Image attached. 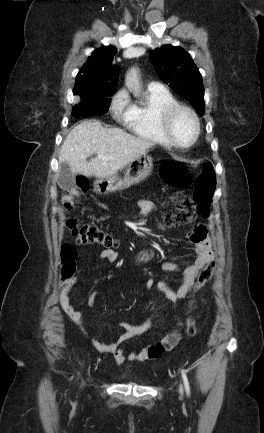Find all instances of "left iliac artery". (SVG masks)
<instances>
[{
  "label": "left iliac artery",
  "mask_w": 264,
  "mask_h": 433,
  "mask_svg": "<svg viewBox=\"0 0 264 433\" xmlns=\"http://www.w3.org/2000/svg\"><path fill=\"white\" fill-rule=\"evenodd\" d=\"M181 373H182V378L184 381L185 390H186L187 394L190 395V386H189L188 378L186 376V372L184 370H181Z\"/></svg>",
  "instance_id": "1"
}]
</instances>
